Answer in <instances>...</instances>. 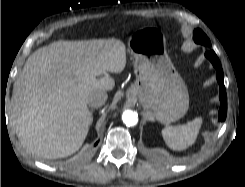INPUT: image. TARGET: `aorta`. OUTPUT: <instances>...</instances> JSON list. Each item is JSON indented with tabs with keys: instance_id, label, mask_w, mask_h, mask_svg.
<instances>
[{
	"instance_id": "762f6f07",
	"label": "aorta",
	"mask_w": 245,
	"mask_h": 187,
	"mask_svg": "<svg viewBox=\"0 0 245 187\" xmlns=\"http://www.w3.org/2000/svg\"><path fill=\"white\" fill-rule=\"evenodd\" d=\"M122 120L126 126H135L138 123V115L132 110H126L122 114Z\"/></svg>"
}]
</instances>
